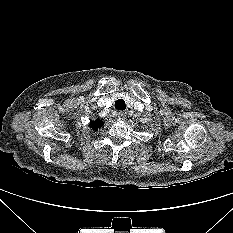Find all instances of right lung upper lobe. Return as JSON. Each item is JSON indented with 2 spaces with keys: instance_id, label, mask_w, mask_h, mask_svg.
<instances>
[{
  "instance_id": "obj_1",
  "label": "right lung upper lobe",
  "mask_w": 233,
  "mask_h": 233,
  "mask_svg": "<svg viewBox=\"0 0 233 233\" xmlns=\"http://www.w3.org/2000/svg\"><path fill=\"white\" fill-rule=\"evenodd\" d=\"M102 126H103V122H102V120H100V119H97V120L91 122V127H92L94 130H97L98 128H100V127H102Z\"/></svg>"
}]
</instances>
